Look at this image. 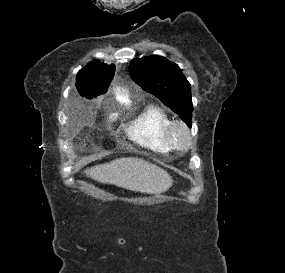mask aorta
<instances>
[{
	"instance_id": "obj_1",
	"label": "aorta",
	"mask_w": 285,
	"mask_h": 273,
	"mask_svg": "<svg viewBox=\"0 0 285 273\" xmlns=\"http://www.w3.org/2000/svg\"><path fill=\"white\" fill-rule=\"evenodd\" d=\"M117 100L122 103V104H125V105H128L130 104V100L129 98L126 96V95H117L116 96Z\"/></svg>"
}]
</instances>
